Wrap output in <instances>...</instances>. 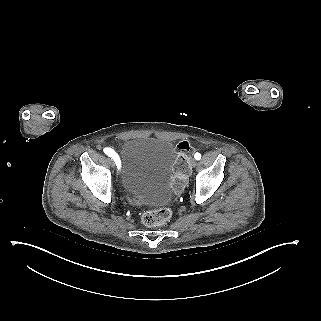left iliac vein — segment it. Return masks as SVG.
Returning a JSON list of instances; mask_svg holds the SVG:
<instances>
[{
    "instance_id": "obj_1",
    "label": "left iliac vein",
    "mask_w": 321,
    "mask_h": 321,
    "mask_svg": "<svg viewBox=\"0 0 321 321\" xmlns=\"http://www.w3.org/2000/svg\"><path fill=\"white\" fill-rule=\"evenodd\" d=\"M190 164H191L192 167H195L197 165V161L194 158H192L190 160Z\"/></svg>"
}]
</instances>
